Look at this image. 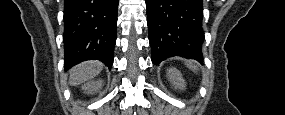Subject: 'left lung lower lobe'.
Wrapping results in <instances>:
<instances>
[{
	"label": "left lung lower lobe",
	"mask_w": 285,
	"mask_h": 115,
	"mask_svg": "<svg viewBox=\"0 0 285 115\" xmlns=\"http://www.w3.org/2000/svg\"><path fill=\"white\" fill-rule=\"evenodd\" d=\"M154 64L172 56L202 63V0H146Z\"/></svg>",
	"instance_id": "0a47b994"
}]
</instances>
